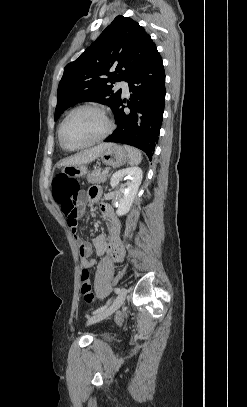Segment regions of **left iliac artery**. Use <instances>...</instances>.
<instances>
[{
	"mask_svg": "<svg viewBox=\"0 0 247 407\" xmlns=\"http://www.w3.org/2000/svg\"><path fill=\"white\" fill-rule=\"evenodd\" d=\"M119 291H120L119 288H116V289H115V293H116V294H118ZM107 306H108V304H107V305H104V306H102V307H100V308H98V309H96V310L93 312V314H97V313H99V312L104 311V310L107 308Z\"/></svg>",
	"mask_w": 247,
	"mask_h": 407,
	"instance_id": "44dca946",
	"label": "left iliac artery"
}]
</instances>
